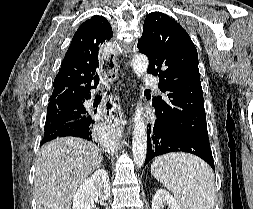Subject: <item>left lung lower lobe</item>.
<instances>
[{
    "label": "left lung lower lobe",
    "instance_id": "left-lung-lower-lobe-1",
    "mask_svg": "<svg viewBox=\"0 0 253 209\" xmlns=\"http://www.w3.org/2000/svg\"><path fill=\"white\" fill-rule=\"evenodd\" d=\"M147 155L144 166L154 157L169 152H188L206 161L215 171L210 144L201 142L191 136L182 134L157 119L148 125ZM151 134V137H150Z\"/></svg>",
    "mask_w": 253,
    "mask_h": 209
}]
</instances>
